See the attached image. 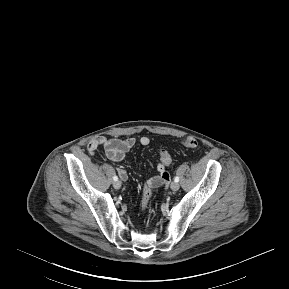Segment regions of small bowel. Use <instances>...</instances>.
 Masks as SVG:
<instances>
[{"mask_svg":"<svg viewBox=\"0 0 289 289\" xmlns=\"http://www.w3.org/2000/svg\"><path fill=\"white\" fill-rule=\"evenodd\" d=\"M137 142L142 146H147L150 143V139L146 136H143L138 140L135 137L108 139L104 136H97L88 143V150L89 152L94 153L97 149L103 147L105 155L109 160L121 162L127 159V152L133 148ZM156 169L158 175L147 179L144 187L153 189L168 184L171 176L168 165L159 163L157 164ZM117 173L122 180H127V172L123 168H118Z\"/></svg>","mask_w":289,"mask_h":289,"instance_id":"1","label":"small bowel"}]
</instances>
